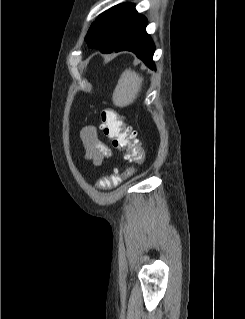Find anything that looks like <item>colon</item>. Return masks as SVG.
Segmentation results:
<instances>
[{
    "label": "colon",
    "mask_w": 245,
    "mask_h": 319,
    "mask_svg": "<svg viewBox=\"0 0 245 319\" xmlns=\"http://www.w3.org/2000/svg\"><path fill=\"white\" fill-rule=\"evenodd\" d=\"M100 128L105 137L111 140L112 146L124 152L125 159L130 162L140 163L144 158V149L137 142L136 136L127 121L113 109H104L100 115ZM132 172L127 169L122 172L117 168L113 174L99 181L102 187H113L118 185L123 176Z\"/></svg>",
    "instance_id": "1"
}]
</instances>
